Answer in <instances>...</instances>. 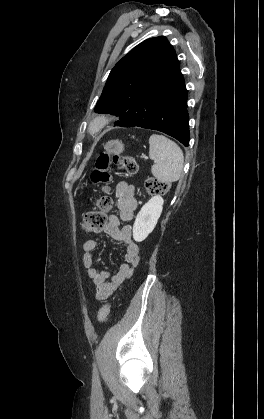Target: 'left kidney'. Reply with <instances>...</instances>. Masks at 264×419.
<instances>
[{"label":"left kidney","instance_id":"1","mask_svg":"<svg viewBox=\"0 0 264 419\" xmlns=\"http://www.w3.org/2000/svg\"><path fill=\"white\" fill-rule=\"evenodd\" d=\"M164 200L161 196L152 197L139 211L133 225V238L141 242L154 230L163 210Z\"/></svg>","mask_w":264,"mask_h":419}]
</instances>
